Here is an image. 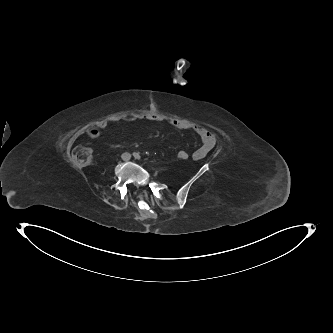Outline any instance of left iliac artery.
Returning <instances> with one entry per match:
<instances>
[{"label": "left iliac artery", "instance_id": "1", "mask_svg": "<svg viewBox=\"0 0 333 333\" xmlns=\"http://www.w3.org/2000/svg\"><path fill=\"white\" fill-rule=\"evenodd\" d=\"M133 156H134L136 159H139V158H140L139 153H134Z\"/></svg>", "mask_w": 333, "mask_h": 333}]
</instances>
